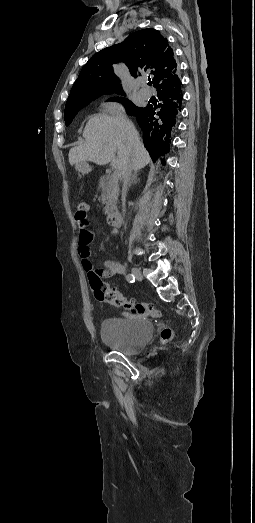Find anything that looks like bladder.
<instances>
[{"label": "bladder", "mask_w": 255, "mask_h": 523, "mask_svg": "<svg viewBox=\"0 0 255 523\" xmlns=\"http://www.w3.org/2000/svg\"><path fill=\"white\" fill-rule=\"evenodd\" d=\"M100 332L103 341L118 352L138 353L148 344L153 332V324L137 317L125 320L103 318Z\"/></svg>", "instance_id": "1"}]
</instances>
